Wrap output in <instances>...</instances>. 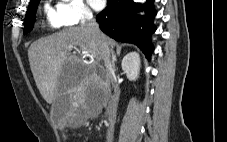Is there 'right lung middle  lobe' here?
Returning <instances> with one entry per match:
<instances>
[{
    "mask_svg": "<svg viewBox=\"0 0 227 142\" xmlns=\"http://www.w3.org/2000/svg\"><path fill=\"white\" fill-rule=\"evenodd\" d=\"M40 0H36L34 2H31L28 6V10L25 16V21H24V34L30 32L33 28L34 22H35V14H36V9L39 4Z\"/></svg>",
    "mask_w": 227,
    "mask_h": 142,
    "instance_id": "1",
    "label": "right lung middle lobe"
}]
</instances>
